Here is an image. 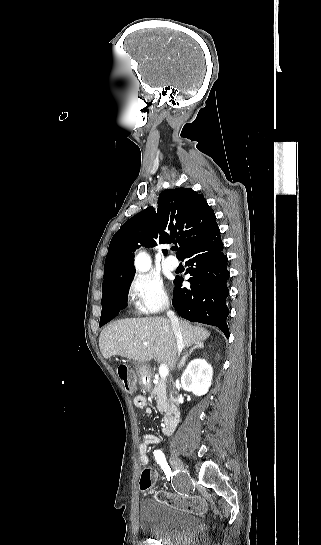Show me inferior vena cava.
Segmentation results:
<instances>
[{"label":"inferior vena cava","mask_w":321,"mask_h":545,"mask_svg":"<svg viewBox=\"0 0 321 545\" xmlns=\"http://www.w3.org/2000/svg\"><path fill=\"white\" fill-rule=\"evenodd\" d=\"M167 309H169V305L167 303L166 305ZM167 317H169L170 321H171V327L174 331V335H175V339H176V343H177V351H178V355H180L183 347H184V343H183V337L180 333V329H179V321L177 319V317H175V313H173V311H167Z\"/></svg>","instance_id":"1"}]
</instances>
